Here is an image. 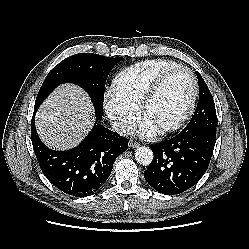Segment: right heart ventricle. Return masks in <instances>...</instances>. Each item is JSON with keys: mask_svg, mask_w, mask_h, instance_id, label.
I'll return each instance as SVG.
<instances>
[{"mask_svg": "<svg viewBox=\"0 0 249 249\" xmlns=\"http://www.w3.org/2000/svg\"><path fill=\"white\" fill-rule=\"evenodd\" d=\"M178 65L167 59H149L118 72L112 81V93L138 110L141 99L155 79L165 70Z\"/></svg>", "mask_w": 249, "mask_h": 249, "instance_id": "right-heart-ventricle-1", "label": "right heart ventricle"}]
</instances>
